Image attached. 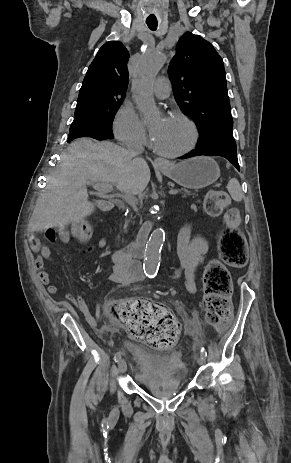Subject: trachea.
<instances>
[{"instance_id": "3493384b", "label": "trachea", "mask_w": 291, "mask_h": 463, "mask_svg": "<svg viewBox=\"0 0 291 463\" xmlns=\"http://www.w3.org/2000/svg\"><path fill=\"white\" fill-rule=\"evenodd\" d=\"M147 23V26L149 27V29L151 30H156L157 29V25L158 23L157 22H146Z\"/></svg>"}]
</instances>
